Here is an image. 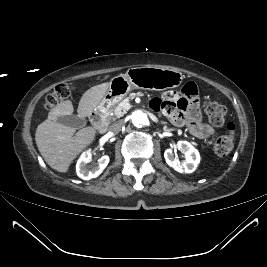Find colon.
<instances>
[{
	"instance_id": "obj_1",
	"label": "colon",
	"mask_w": 267,
	"mask_h": 267,
	"mask_svg": "<svg viewBox=\"0 0 267 267\" xmlns=\"http://www.w3.org/2000/svg\"><path fill=\"white\" fill-rule=\"evenodd\" d=\"M73 87L70 84L62 83L57 85L47 96L45 106L52 108L66 100L72 93ZM209 121L214 126H221L224 123L226 107L217 102H210L205 107ZM228 133L217 136L213 141V148L218 155H227L233 148L235 125L232 122L227 124Z\"/></svg>"
}]
</instances>
